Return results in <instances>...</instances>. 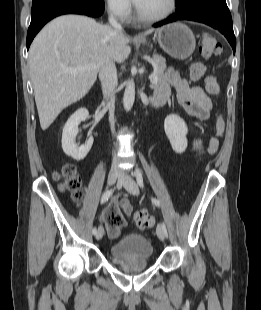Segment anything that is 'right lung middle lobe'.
Masks as SVG:
<instances>
[{
    "instance_id": "dd1d6c3e",
    "label": "right lung middle lobe",
    "mask_w": 261,
    "mask_h": 310,
    "mask_svg": "<svg viewBox=\"0 0 261 310\" xmlns=\"http://www.w3.org/2000/svg\"><path fill=\"white\" fill-rule=\"evenodd\" d=\"M36 1H38V0H33V2H36ZM33 2H32V3H33Z\"/></svg>"
}]
</instances>
